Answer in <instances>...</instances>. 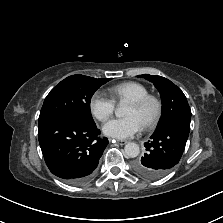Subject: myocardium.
I'll use <instances>...</instances> for the list:
<instances>
[{
  "label": "myocardium",
  "mask_w": 223,
  "mask_h": 223,
  "mask_svg": "<svg viewBox=\"0 0 223 223\" xmlns=\"http://www.w3.org/2000/svg\"><path fill=\"white\" fill-rule=\"evenodd\" d=\"M129 104L133 105L136 108L142 109L149 104H153L154 111L153 114L147 119L141 126L143 129H151L157 125L159 122L162 113H163V101L162 99L154 94H147L138 99L129 101Z\"/></svg>",
  "instance_id": "1"
}]
</instances>
